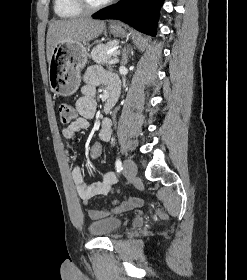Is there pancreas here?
Listing matches in <instances>:
<instances>
[{"mask_svg": "<svg viewBox=\"0 0 247 280\" xmlns=\"http://www.w3.org/2000/svg\"><path fill=\"white\" fill-rule=\"evenodd\" d=\"M115 45V43L99 44L93 48L91 52V58L94 62L98 64H108L114 55L106 54V52Z\"/></svg>", "mask_w": 247, "mask_h": 280, "instance_id": "pancreas-1", "label": "pancreas"}]
</instances>
